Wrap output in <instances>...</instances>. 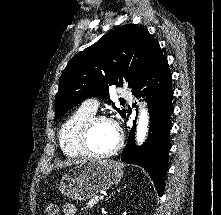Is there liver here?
Instances as JSON below:
<instances>
[{
	"label": "liver",
	"instance_id": "liver-1",
	"mask_svg": "<svg viewBox=\"0 0 221 215\" xmlns=\"http://www.w3.org/2000/svg\"><path fill=\"white\" fill-rule=\"evenodd\" d=\"M74 163H81V161L67 160V161H64V162H61V163L57 164L56 168L59 169V168H62V167H67V166H70Z\"/></svg>",
	"mask_w": 221,
	"mask_h": 215
}]
</instances>
